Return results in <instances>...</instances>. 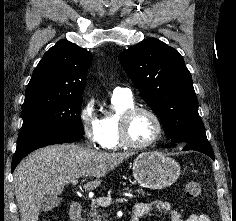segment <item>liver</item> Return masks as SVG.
Masks as SVG:
<instances>
[{"instance_id":"6515ba94","label":"liver","mask_w":236,"mask_h":221,"mask_svg":"<svg viewBox=\"0 0 236 221\" xmlns=\"http://www.w3.org/2000/svg\"><path fill=\"white\" fill-rule=\"evenodd\" d=\"M132 155L101 152L76 144L48 146L33 152L14 172L21 221H38L41 200L46 195H60L67 184L81 176L95 178L84 185L87 190L95 189L103 176Z\"/></svg>"}]
</instances>
